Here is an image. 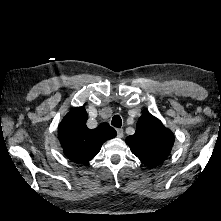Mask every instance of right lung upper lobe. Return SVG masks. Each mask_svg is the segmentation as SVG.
Segmentation results:
<instances>
[{
	"instance_id": "1",
	"label": "right lung upper lobe",
	"mask_w": 221,
	"mask_h": 221,
	"mask_svg": "<svg viewBox=\"0 0 221 221\" xmlns=\"http://www.w3.org/2000/svg\"><path fill=\"white\" fill-rule=\"evenodd\" d=\"M87 119L85 108L77 107L63 118L58 128L64 154L77 163L91 160L100 151L102 144L117 134L108 123L89 129L86 126Z\"/></svg>"
}]
</instances>
